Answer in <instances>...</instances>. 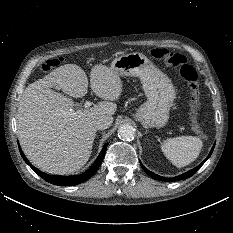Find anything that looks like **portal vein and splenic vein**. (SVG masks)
Instances as JSON below:
<instances>
[{
	"instance_id": "portal-vein-and-splenic-vein-1",
	"label": "portal vein and splenic vein",
	"mask_w": 233,
	"mask_h": 233,
	"mask_svg": "<svg viewBox=\"0 0 233 233\" xmlns=\"http://www.w3.org/2000/svg\"><path fill=\"white\" fill-rule=\"evenodd\" d=\"M91 105H92V103L90 102V101H86L85 103H84V108L85 109H88L89 107H91ZM77 112H73L72 114H76Z\"/></svg>"
}]
</instances>
